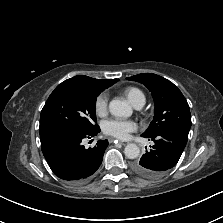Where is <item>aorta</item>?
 Returning a JSON list of instances; mask_svg holds the SVG:
<instances>
[{
    "label": "aorta",
    "instance_id": "aorta-1",
    "mask_svg": "<svg viewBox=\"0 0 223 223\" xmlns=\"http://www.w3.org/2000/svg\"><path fill=\"white\" fill-rule=\"evenodd\" d=\"M109 111L116 117H130L132 115L131 106L119 99H113L109 103ZM124 154L129 159H136L140 155V149L136 144L130 143L126 145Z\"/></svg>",
    "mask_w": 223,
    "mask_h": 223
}]
</instances>
